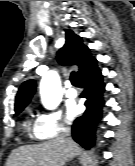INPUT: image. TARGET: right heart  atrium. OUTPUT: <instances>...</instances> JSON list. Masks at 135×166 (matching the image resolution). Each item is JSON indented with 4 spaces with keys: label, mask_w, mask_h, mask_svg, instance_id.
<instances>
[{
    "label": "right heart atrium",
    "mask_w": 135,
    "mask_h": 166,
    "mask_svg": "<svg viewBox=\"0 0 135 166\" xmlns=\"http://www.w3.org/2000/svg\"><path fill=\"white\" fill-rule=\"evenodd\" d=\"M34 136L38 140L55 138L66 132L61 112L57 110L41 111L34 124Z\"/></svg>",
    "instance_id": "1"
}]
</instances>
